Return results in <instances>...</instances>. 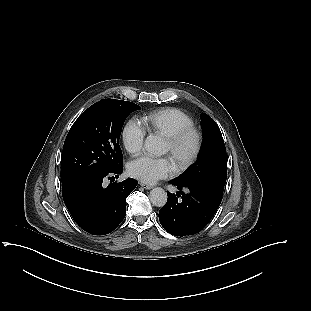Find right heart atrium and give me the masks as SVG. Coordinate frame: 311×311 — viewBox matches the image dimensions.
Returning a JSON list of instances; mask_svg holds the SVG:
<instances>
[{"label": "right heart atrium", "instance_id": "1", "mask_svg": "<svg viewBox=\"0 0 311 311\" xmlns=\"http://www.w3.org/2000/svg\"><path fill=\"white\" fill-rule=\"evenodd\" d=\"M146 136L145 128L135 119H130L124 126L122 137L127 151L132 154H138L144 145Z\"/></svg>", "mask_w": 311, "mask_h": 311}]
</instances>
